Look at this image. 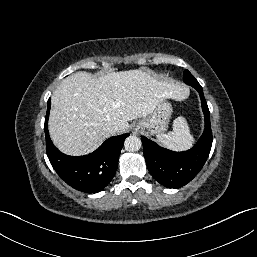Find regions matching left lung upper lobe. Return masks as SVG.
<instances>
[{
	"instance_id": "1",
	"label": "left lung upper lobe",
	"mask_w": 257,
	"mask_h": 257,
	"mask_svg": "<svg viewBox=\"0 0 257 257\" xmlns=\"http://www.w3.org/2000/svg\"><path fill=\"white\" fill-rule=\"evenodd\" d=\"M184 82L194 88H197L198 86H201L198 81L194 78V76L188 71H184Z\"/></svg>"
}]
</instances>
